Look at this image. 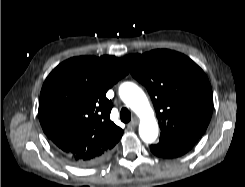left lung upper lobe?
Returning a JSON list of instances; mask_svg holds the SVG:
<instances>
[{
    "instance_id": "left-lung-upper-lobe-1",
    "label": "left lung upper lobe",
    "mask_w": 245,
    "mask_h": 187,
    "mask_svg": "<svg viewBox=\"0 0 245 187\" xmlns=\"http://www.w3.org/2000/svg\"><path fill=\"white\" fill-rule=\"evenodd\" d=\"M132 76L148 90L160 137H201L211 119L213 94L203 70L187 56L153 50L124 58Z\"/></svg>"
}]
</instances>
